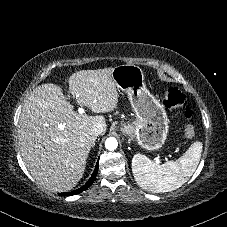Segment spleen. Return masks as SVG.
Listing matches in <instances>:
<instances>
[{"label":"spleen","mask_w":227,"mask_h":227,"mask_svg":"<svg viewBox=\"0 0 227 227\" xmlns=\"http://www.w3.org/2000/svg\"><path fill=\"white\" fill-rule=\"evenodd\" d=\"M202 143L194 142L177 160L156 164L142 154L132 159V172L137 184L152 193H165L178 189L193 175L199 164Z\"/></svg>","instance_id":"1"}]
</instances>
